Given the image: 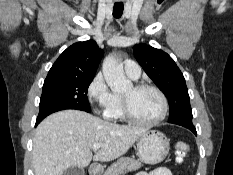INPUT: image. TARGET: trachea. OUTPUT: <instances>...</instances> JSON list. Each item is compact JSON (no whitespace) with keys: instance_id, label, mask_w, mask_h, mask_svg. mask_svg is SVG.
<instances>
[{"instance_id":"trachea-1","label":"trachea","mask_w":233,"mask_h":175,"mask_svg":"<svg viewBox=\"0 0 233 175\" xmlns=\"http://www.w3.org/2000/svg\"><path fill=\"white\" fill-rule=\"evenodd\" d=\"M124 6L122 3H116L113 7L114 18H120L123 14Z\"/></svg>"}]
</instances>
